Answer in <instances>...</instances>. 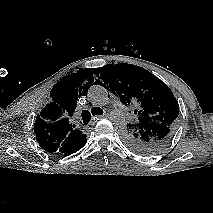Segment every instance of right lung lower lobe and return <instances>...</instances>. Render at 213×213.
I'll return each mask as SVG.
<instances>
[{"label": "right lung lower lobe", "instance_id": "98d812e1", "mask_svg": "<svg viewBox=\"0 0 213 213\" xmlns=\"http://www.w3.org/2000/svg\"><path fill=\"white\" fill-rule=\"evenodd\" d=\"M87 143V139L86 136L85 138L80 141L76 146H74L72 149L66 151L65 153H63V155H70L72 153L77 152L78 150H80L85 144Z\"/></svg>", "mask_w": 213, "mask_h": 213}]
</instances>
